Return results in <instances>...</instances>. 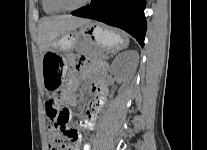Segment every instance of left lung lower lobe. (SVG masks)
<instances>
[{"label":"left lung lower lobe","instance_id":"left-lung-lower-lobe-1","mask_svg":"<svg viewBox=\"0 0 207 150\" xmlns=\"http://www.w3.org/2000/svg\"><path fill=\"white\" fill-rule=\"evenodd\" d=\"M145 5L146 0H94L72 12V15L121 28L143 47L146 32Z\"/></svg>","mask_w":207,"mask_h":150}]
</instances>
